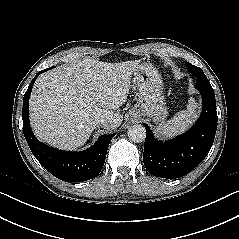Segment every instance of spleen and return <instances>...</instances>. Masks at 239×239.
<instances>
[{
  "label": "spleen",
  "instance_id": "1",
  "mask_svg": "<svg viewBox=\"0 0 239 239\" xmlns=\"http://www.w3.org/2000/svg\"><path fill=\"white\" fill-rule=\"evenodd\" d=\"M196 108L197 104L191 98L187 110H181L167 122L159 124V133L166 138H172L185 132L198 117Z\"/></svg>",
  "mask_w": 239,
  "mask_h": 239
}]
</instances>
